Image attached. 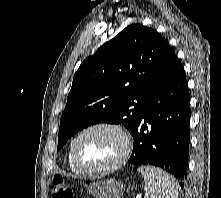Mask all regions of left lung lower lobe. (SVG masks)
Wrapping results in <instances>:
<instances>
[{"label":"left lung lower lobe","mask_w":221,"mask_h":198,"mask_svg":"<svg viewBox=\"0 0 221 198\" xmlns=\"http://www.w3.org/2000/svg\"><path fill=\"white\" fill-rule=\"evenodd\" d=\"M190 116L185 71L174 54L164 77L143 104L132 133L134 145L128 163L161 167L181 180L183 188L188 165Z\"/></svg>","instance_id":"left-lung-lower-lobe-1"}]
</instances>
